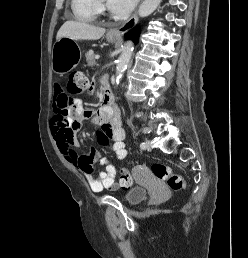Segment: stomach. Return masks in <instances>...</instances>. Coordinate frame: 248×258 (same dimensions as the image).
Here are the masks:
<instances>
[{"mask_svg": "<svg viewBox=\"0 0 248 258\" xmlns=\"http://www.w3.org/2000/svg\"><path fill=\"white\" fill-rule=\"evenodd\" d=\"M117 37L107 35L111 43L117 41ZM82 58V51L76 40L62 37L55 42L51 54V67L57 74L64 75L73 70Z\"/></svg>", "mask_w": 248, "mask_h": 258, "instance_id": "0dacf381", "label": "stomach"}]
</instances>
